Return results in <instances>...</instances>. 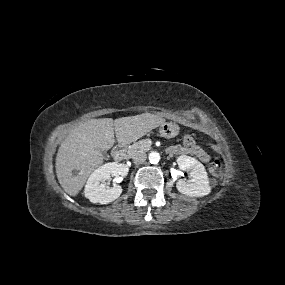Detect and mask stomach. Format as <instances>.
<instances>
[{
	"label": "stomach",
	"mask_w": 285,
	"mask_h": 285,
	"mask_svg": "<svg viewBox=\"0 0 285 285\" xmlns=\"http://www.w3.org/2000/svg\"><path fill=\"white\" fill-rule=\"evenodd\" d=\"M159 132L163 136L174 137L178 134L179 127L174 122H164L163 124L160 125Z\"/></svg>",
	"instance_id": "1"
}]
</instances>
